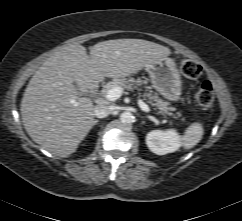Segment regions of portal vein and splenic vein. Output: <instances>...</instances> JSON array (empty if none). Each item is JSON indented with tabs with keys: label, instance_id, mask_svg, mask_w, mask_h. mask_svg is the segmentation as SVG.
<instances>
[{
	"label": "portal vein and splenic vein",
	"instance_id": "portal-vein-and-splenic-vein-1",
	"mask_svg": "<svg viewBox=\"0 0 242 221\" xmlns=\"http://www.w3.org/2000/svg\"><path fill=\"white\" fill-rule=\"evenodd\" d=\"M122 93H123L122 88L114 87L107 91V93L105 95V99L108 101H116L117 99H119L121 97ZM138 105L143 111H145V112L150 111L149 106L147 104H145L141 99L138 100Z\"/></svg>",
	"mask_w": 242,
	"mask_h": 221
}]
</instances>
